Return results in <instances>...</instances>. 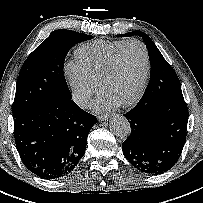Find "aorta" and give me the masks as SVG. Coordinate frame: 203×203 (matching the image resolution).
<instances>
[{
  "instance_id": "aorta-1",
  "label": "aorta",
  "mask_w": 203,
  "mask_h": 203,
  "mask_svg": "<svg viewBox=\"0 0 203 203\" xmlns=\"http://www.w3.org/2000/svg\"><path fill=\"white\" fill-rule=\"evenodd\" d=\"M110 130L117 137L125 138L130 134L131 126L126 117L116 115L110 121Z\"/></svg>"
}]
</instances>
